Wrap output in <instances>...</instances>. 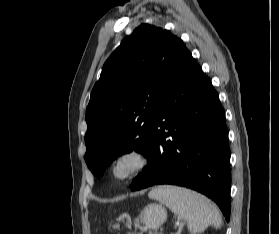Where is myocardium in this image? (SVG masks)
Listing matches in <instances>:
<instances>
[{"label": "myocardium", "instance_id": "myocardium-1", "mask_svg": "<svg viewBox=\"0 0 279 234\" xmlns=\"http://www.w3.org/2000/svg\"><path fill=\"white\" fill-rule=\"evenodd\" d=\"M148 156L140 148L132 147L118 153L108 169L110 179L115 183H125L138 175L147 165Z\"/></svg>", "mask_w": 279, "mask_h": 234}]
</instances>
